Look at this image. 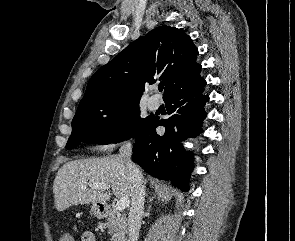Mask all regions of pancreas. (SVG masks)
Returning <instances> with one entry per match:
<instances>
[{
  "mask_svg": "<svg viewBox=\"0 0 295 241\" xmlns=\"http://www.w3.org/2000/svg\"><path fill=\"white\" fill-rule=\"evenodd\" d=\"M111 234V241H124L127 233V220L124 214L116 208H112L108 213V218L104 224Z\"/></svg>",
  "mask_w": 295,
  "mask_h": 241,
  "instance_id": "1",
  "label": "pancreas"
}]
</instances>
